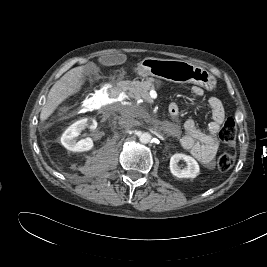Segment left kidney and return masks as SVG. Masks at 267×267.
<instances>
[{"instance_id":"obj_1","label":"left kidney","mask_w":267,"mask_h":267,"mask_svg":"<svg viewBox=\"0 0 267 267\" xmlns=\"http://www.w3.org/2000/svg\"><path fill=\"white\" fill-rule=\"evenodd\" d=\"M180 160H184L187 164L183 169L178 166ZM169 167L171 173L178 178H195L200 174L197 161L193 157L181 153L174 154L171 157Z\"/></svg>"}]
</instances>
